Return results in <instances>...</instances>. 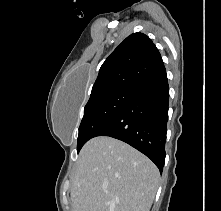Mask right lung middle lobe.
<instances>
[{"label":"right lung middle lobe","mask_w":221,"mask_h":211,"mask_svg":"<svg viewBox=\"0 0 221 211\" xmlns=\"http://www.w3.org/2000/svg\"><path fill=\"white\" fill-rule=\"evenodd\" d=\"M132 92V88H116L89 99L79 127L78 152L122 108Z\"/></svg>","instance_id":"dd1d6c3e"}]
</instances>
